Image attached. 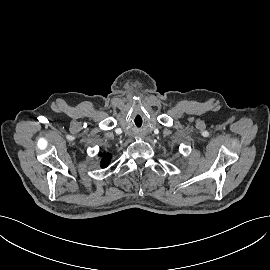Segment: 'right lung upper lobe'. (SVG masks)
I'll return each instance as SVG.
<instances>
[{"label": "right lung upper lobe", "instance_id": "right-lung-upper-lobe-1", "mask_svg": "<svg viewBox=\"0 0 270 270\" xmlns=\"http://www.w3.org/2000/svg\"><path fill=\"white\" fill-rule=\"evenodd\" d=\"M100 156L103 157L101 160V167H107L112 157L111 154L100 153Z\"/></svg>", "mask_w": 270, "mask_h": 270}]
</instances>
